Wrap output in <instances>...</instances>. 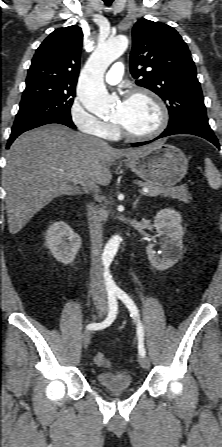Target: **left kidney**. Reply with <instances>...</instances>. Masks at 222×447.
Instances as JSON below:
<instances>
[{
    "instance_id": "1",
    "label": "left kidney",
    "mask_w": 222,
    "mask_h": 447,
    "mask_svg": "<svg viewBox=\"0 0 222 447\" xmlns=\"http://www.w3.org/2000/svg\"><path fill=\"white\" fill-rule=\"evenodd\" d=\"M179 212L171 208L160 210L155 216V227L161 239L162 255L154 250L155 244H149L146 248L151 265L159 271L167 270L178 262L183 250V227Z\"/></svg>"
}]
</instances>
